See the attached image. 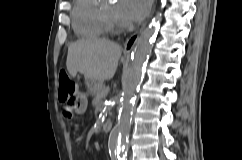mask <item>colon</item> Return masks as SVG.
<instances>
[{
    "label": "colon",
    "mask_w": 242,
    "mask_h": 160,
    "mask_svg": "<svg viewBox=\"0 0 242 160\" xmlns=\"http://www.w3.org/2000/svg\"><path fill=\"white\" fill-rule=\"evenodd\" d=\"M59 80V100L64 104L63 113L67 117H72L77 108L83 103L85 97L79 93L76 84L69 78L66 72H60Z\"/></svg>",
    "instance_id": "obj_1"
}]
</instances>
